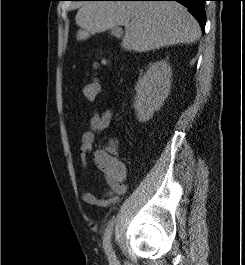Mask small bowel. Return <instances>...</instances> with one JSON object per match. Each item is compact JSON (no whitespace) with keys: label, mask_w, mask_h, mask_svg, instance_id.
<instances>
[{"label":"small bowel","mask_w":245,"mask_h":265,"mask_svg":"<svg viewBox=\"0 0 245 265\" xmlns=\"http://www.w3.org/2000/svg\"><path fill=\"white\" fill-rule=\"evenodd\" d=\"M113 118V112L110 109L102 113L94 112L89 121V128L81 137V145L79 149L80 163L83 168L87 166V156L92 154L93 162L98 167V156L100 153H108L113 156L117 154V149L113 145L107 146L105 149L93 151L96 136L109 127ZM99 169V167H98ZM107 189L102 194L92 192H84L82 200L90 205L107 208L118 203L121 197L127 191V185L124 183V174L118 178H112L104 174Z\"/></svg>","instance_id":"obj_1"}]
</instances>
